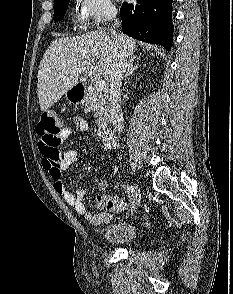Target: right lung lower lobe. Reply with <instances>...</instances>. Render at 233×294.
Segmentation results:
<instances>
[{"label":"right lung lower lobe","instance_id":"98d812e1","mask_svg":"<svg viewBox=\"0 0 233 294\" xmlns=\"http://www.w3.org/2000/svg\"><path fill=\"white\" fill-rule=\"evenodd\" d=\"M173 0H137V4L123 3L120 9L122 30L143 42L158 44L168 51L173 40Z\"/></svg>","mask_w":233,"mask_h":294}]
</instances>
